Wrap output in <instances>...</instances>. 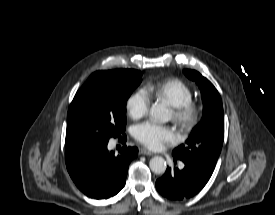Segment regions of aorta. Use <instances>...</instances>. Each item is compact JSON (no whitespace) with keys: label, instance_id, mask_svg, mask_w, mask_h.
<instances>
[{"label":"aorta","instance_id":"obj_1","mask_svg":"<svg viewBox=\"0 0 275 215\" xmlns=\"http://www.w3.org/2000/svg\"><path fill=\"white\" fill-rule=\"evenodd\" d=\"M150 117L155 122L165 123L170 120L171 116L168 109L165 106L161 104H155L150 109ZM149 166L151 171L156 174H163L167 168L165 159L159 156L151 158Z\"/></svg>","mask_w":275,"mask_h":215}]
</instances>
